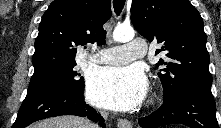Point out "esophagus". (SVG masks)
<instances>
[{
  "label": "esophagus",
  "instance_id": "obj_1",
  "mask_svg": "<svg viewBox=\"0 0 221 128\" xmlns=\"http://www.w3.org/2000/svg\"><path fill=\"white\" fill-rule=\"evenodd\" d=\"M118 127L119 128H132V124L127 119H120L118 121Z\"/></svg>",
  "mask_w": 221,
  "mask_h": 128
}]
</instances>
